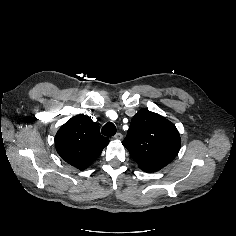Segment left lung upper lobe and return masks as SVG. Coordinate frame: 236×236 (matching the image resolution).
<instances>
[{
    "label": "left lung upper lobe",
    "instance_id": "1",
    "mask_svg": "<svg viewBox=\"0 0 236 236\" xmlns=\"http://www.w3.org/2000/svg\"><path fill=\"white\" fill-rule=\"evenodd\" d=\"M122 144L141 170L152 173L176 157L181 139L173 123L144 108L133 117Z\"/></svg>",
    "mask_w": 236,
    "mask_h": 236
}]
</instances>
